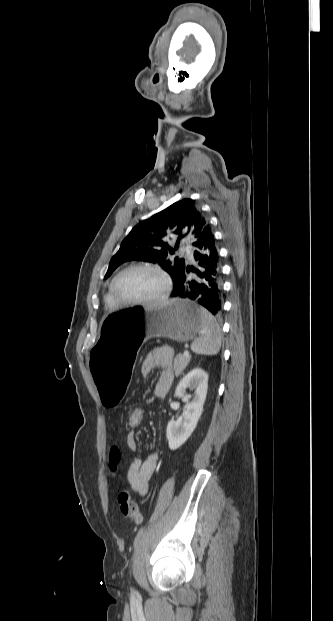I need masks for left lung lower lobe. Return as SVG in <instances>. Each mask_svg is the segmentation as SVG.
Listing matches in <instances>:
<instances>
[{
	"label": "left lung lower lobe",
	"mask_w": 333,
	"mask_h": 621,
	"mask_svg": "<svg viewBox=\"0 0 333 621\" xmlns=\"http://www.w3.org/2000/svg\"><path fill=\"white\" fill-rule=\"evenodd\" d=\"M191 258L197 267L185 265L175 278L171 296L196 302L208 309L213 315L222 311V269L220 255L216 248L210 226H206L193 243ZM186 273L194 274L188 276Z\"/></svg>",
	"instance_id": "obj_1"
}]
</instances>
